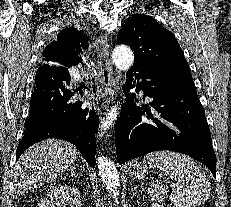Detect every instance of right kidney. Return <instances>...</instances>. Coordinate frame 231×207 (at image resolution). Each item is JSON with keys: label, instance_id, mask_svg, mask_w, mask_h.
I'll use <instances>...</instances> for the list:
<instances>
[{"label": "right kidney", "instance_id": "ca27d5eb", "mask_svg": "<svg viewBox=\"0 0 231 207\" xmlns=\"http://www.w3.org/2000/svg\"><path fill=\"white\" fill-rule=\"evenodd\" d=\"M81 207L77 189L67 185H58L42 198L38 207Z\"/></svg>", "mask_w": 231, "mask_h": 207}]
</instances>
